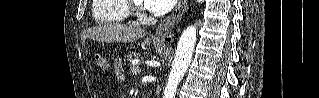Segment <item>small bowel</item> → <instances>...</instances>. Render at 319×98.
<instances>
[{
    "instance_id": "small-bowel-1",
    "label": "small bowel",
    "mask_w": 319,
    "mask_h": 98,
    "mask_svg": "<svg viewBox=\"0 0 319 98\" xmlns=\"http://www.w3.org/2000/svg\"><path fill=\"white\" fill-rule=\"evenodd\" d=\"M118 75H119V77L122 79V72H121L120 69H118Z\"/></svg>"
}]
</instances>
